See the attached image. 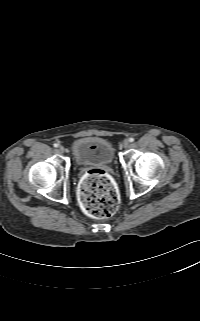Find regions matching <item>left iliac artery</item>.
Listing matches in <instances>:
<instances>
[{"instance_id": "44dca946", "label": "left iliac artery", "mask_w": 200, "mask_h": 321, "mask_svg": "<svg viewBox=\"0 0 200 321\" xmlns=\"http://www.w3.org/2000/svg\"><path fill=\"white\" fill-rule=\"evenodd\" d=\"M129 141H130V142H133V141H134V138H129Z\"/></svg>"}]
</instances>
